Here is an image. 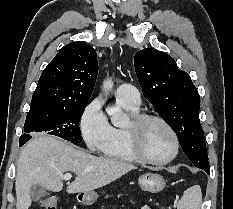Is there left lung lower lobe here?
<instances>
[{
    "label": "left lung lower lobe",
    "instance_id": "obj_1",
    "mask_svg": "<svg viewBox=\"0 0 233 209\" xmlns=\"http://www.w3.org/2000/svg\"><path fill=\"white\" fill-rule=\"evenodd\" d=\"M201 169L204 170L205 172H207L209 174V166L202 167Z\"/></svg>",
    "mask_w": 233,
    "mask_h": 209
}]
</instances>
